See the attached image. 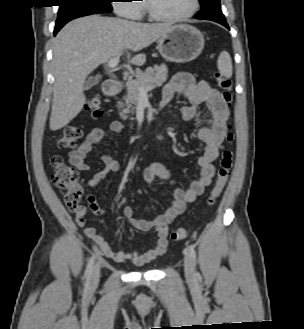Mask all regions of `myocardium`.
I'll return each instance as SVG.
<instances>
[{
	"instance_id": "obj_1",
	"label": "myocardium",
	"mask_w": 304,
	"mask_h": 329,
	"mask_svg": "<svg viewBox=\"0 0 304 329\" xmlns=\"http://www.w3.org/2000/svg\"><path fill=\"white\" fill-rule=\"evenodd\" d=\"M144 2H145V9L149 17L155 21H161V22H178L185 20L195 15L200 7V0H193V6L188 12L181 15L168 16L157 12L153 6L152 0H144Z\"/></svg>"
}]
</instances>
